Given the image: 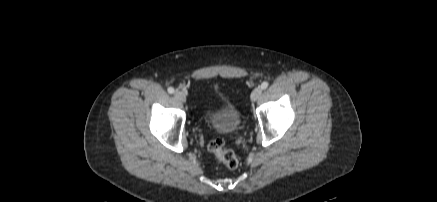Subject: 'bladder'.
Wrapping results in <instances>:
<instances>
[{"label":"bladder","instance_id":"obj_1","mask_svg":"<svg viewBox=\"0 0 437 202\" xmlns=\"http://www.w3.org/2000/svg\"><path fill=\"white\" fill-rule=\"evenodd\" d=\"M202 118L205 124L222 134L237 132L242 122L239 110L229 102H225L217 110L207 107L203 112Z\"/></svg>","mask_w":437,"mask_h":202}]
</instances>
